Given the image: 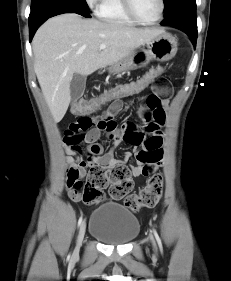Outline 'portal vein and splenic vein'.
Instances as JSON below:
<instances>
[{
	"label": "portal vein and splenic vein",
	"instance_id": "obj_1",
	"mask_svg": "<svg viewBox=\"0 0 231 281\" xmlns=\"http://www.w3.org/2000/svg\"><path fill=\"white\" fill-rule=\"evenodd\" d=\"M99 48H100V50H103V49L106 48V45L105 44H101Z\"/></svg>",
	"mask_w": 231,
	"mask_h": 281
}]
</instances>
